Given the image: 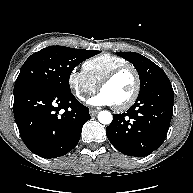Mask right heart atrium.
<instances>
[{
	"label": "right heart atrium",
	"instance_id": "obj_1",
	"mask_svg": "<svg viewBox=\"0 0 193 193\" xmlns=\"http://www.w3.org/2000/svg\"><path fill=\"white\" fill-rule=\"evenodd\" d=\"M67 82L71 92L81 102L96 90V84L83 71L76 68L69 72Z\"/></svg>",
	"mask_w": 193,
	"mask_h": 193
}]
</instances>
